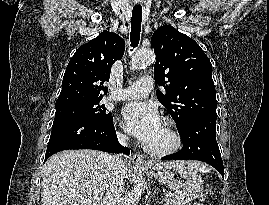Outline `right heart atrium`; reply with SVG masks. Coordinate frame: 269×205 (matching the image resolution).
<instances>
[{
    "instance_id": "1",
    "label": "right heart atrium",
    "mask_w": 269,
    "mask_h": 205,
    "mask_svg": "<svg viewBox=\"0 0 269 205\" xmlns=\"http://www.w3.org/2000/svg\"><path fill=\"white\" fill-rule=\"evenodd\" d=\"M117 137L120 141H126L127 140V136L122 133L121 131H117Z\"/></svg>"
}]
</instances>
